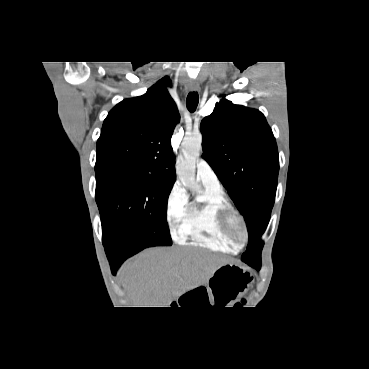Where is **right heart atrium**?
I'll return each mask as SVG.
<instances>
[{"label": "right heart atrium", "mask_w": 369, "mask_h": 369, "mask_svg": "<svg viewBox=\"0 0 369 369\" xmlns=\"http://www.w3.org/2000/svg\"><path fill=\"white\" fill-rule=\"evenodd\" d=\"M188 195L181 184H175L166 202V219L169 227L174 232L186 214L188 207Z\"/></svg>", "instance_id": "d8ad5b80"}]
</instances>
